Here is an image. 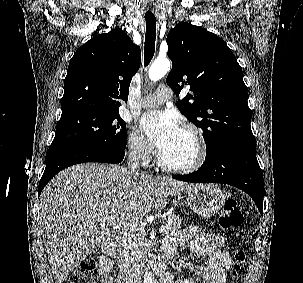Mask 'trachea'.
Instances as JSON below:
<instances>
[{
  "label": "trachea",
  "instance_id": "3493384b",
  "mask_svg": "<svg viewBox=\"0 0 303 283\" xmlns=\"http://www.w3.org/2000/svg\"><path fill=\"white\" fill-rule=\"evenodd\" d=\"M146 34L144 46V65L148 66L155 52L156 40V19L152 16H145Z\"/></svg>",
  "mask_w": 303,
  "mask_h": 283
}]
</instances>
